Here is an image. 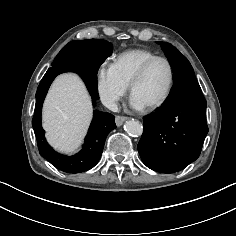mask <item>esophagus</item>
<instances>
[{
  "label": "esophagus",
  "mask_w": 236,
  "mask_h": 236,
  "mask_svg": "<svg viewBox=\"0 0 236 236\" xmlns=\"http://www.w3.org/2000/svg\"><path fill=\"white\" fill-rule=\"evenodd\" d=\"M127 119H128V117H126V116H120V115L116 116V118H115L116 125L118 127L121 126L123 124V122L126 121Z\"/></svg>",
  "instance_id": "esophagus-1"
}]
</instances>
